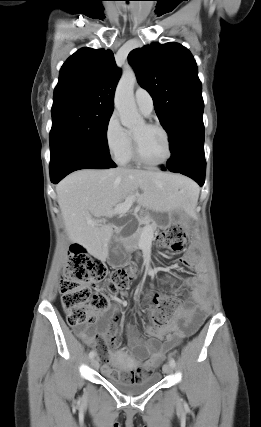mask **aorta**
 <instances>
[{"mask_svg":"<svg viewBox=\"0 0 261 427\" xmlns=\"http://www.w3.org/2000/svg\"><path fill=\"white\" fill-rule=\"evenodd\" d=\"M136 75L132 68L124 69L118 82L114 103L124 127L134 129L144 124L134 99Z\"/></svg>","mask_w":261,"mask_h":427,"instance_id":"aorta-1","label":"aorta"}]
</instances>
